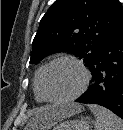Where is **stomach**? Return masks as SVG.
<instances>
[{"mask_svg": "<svg viewBox=\"0 0 123 130\" xmlns=\"http://www.w3.org/2000/svg\"><path fill=\"white\" fill-rule=\"evenodd\" d=\"M51 128H53L52 130H89L90 122L87 119L68 120L56 126H52ZM27 130L32 129L29 128Z\"/></svg>", "mask_w": 123, "mask_h": 130, "instance_id": "0dacf381", "label": "stomach"}]
</instances>
